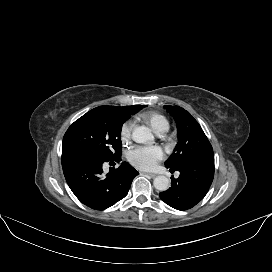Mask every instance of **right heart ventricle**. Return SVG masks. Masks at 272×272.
Wrapping results in <instances>:
<instances>
[{
  "instance_id": "e07e8e85",
  "label": "right heart ventricle",
  "mask_w": 272,
  "mask_h": 272,
  "mask_svg": "<svg viewBox=\"0 0 272 272\" xmlns=\"http://www.w3.org/2000/svg\"><path fill=\"white\" fill-rule=\"evenodd\" d=\"M141 118L149 124L152 129L158 133L162 134L169 129V120L167 117L159 112L150 111L141 115Z\"/></svg>"
}]
</instances>
